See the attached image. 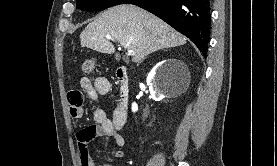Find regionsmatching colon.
I'll list each match as a JSON object with an SVG mask.
<instances>
[{"instance_id": "5ec220e1", "label": "colon", "mask_w": 277, "mask_h": 166, "mask_svg": "<svg viewBox=\"0 0 277 166\" xmlns=\"http://www.w3.org/2000/svg\"><path fill=\"white\" fill-rule=\"evenodd\" d=\"M94 67H95V63L91 58H86L81 63V70L86 74L91 73L94 70Z\"/></svg>"}]
</instances>
